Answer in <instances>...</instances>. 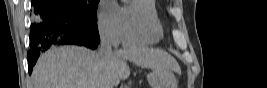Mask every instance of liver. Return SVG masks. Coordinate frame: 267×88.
<instances>
[{"mask_svg": "<svg viewBox=\"0 0 267 88\" xmlns=\"http://www.w3.org/2000/svg\"><path fill=\"white\" fill-rule=\"evenodd\" d=\"M144 68L179 71L168 53L147 47H130L113 53L105 62L99 53L79 46L52 47L33 70L34 88H112L130 75L126 61Z\"/></svg>", "mask_w": 267, "mask_h": 88, "instance_id": "obj_1", "label": "liver"}]
</instances>
